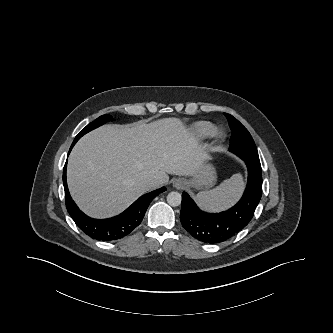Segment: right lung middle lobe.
Returning <instances> with one entry per match:
<instances>
[{"label": "right lung middle lobe", "instance_id": "right-lung-middle-lobe-1", "mask_svg": "<svg viewBox=\"0 0 333 333\" xmlns=\"http://www.w3.org/2000/svg\"><path fill=\"white\" fill-rule=\"evenodd\" d=\"M112 120H113V118L110 115H102V116L98 117L96 120H94L93 122L88 124L84 129H82V131L76 136L75 139L79 140L84 134H86L89 131L103 125L104 123H106L108 121H112Z\"/></svg>", "mask_w": 333, "mask_h": 333}]
</instances>
